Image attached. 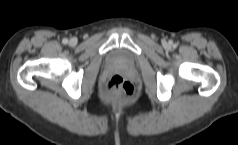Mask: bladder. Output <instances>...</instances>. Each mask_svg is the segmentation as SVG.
I'll return each mask as SVG.
<instances>
[{
    "mask_svg": "<svg viewBox=\"0 0 238 145\" xmlns=\"http://www.w3.org/2000/svg\"><path fill=\"white\" fill-rule=\"evenodd\" d=\"M107 61L113 66L130 68L135 64L133 55L125 49L117 48L109 52Z\"/></svg>",
    "mask_w": 238,
    "mask_h": 145,
    "instance_id": "1",
    "label": "bladder"
}]
</instances>
